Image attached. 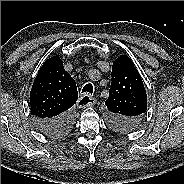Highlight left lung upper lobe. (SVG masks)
I'll return each instance as SVG.
<instances>
[{
	"mask_svg": "<svg viewBox=\"0 0 184 184\" xmlns=\"http://www.w3.org/2000/svg\"><path fill=\"white\" fill-rule=\"evenodd\" d=\"M111 88L105 101L109 123L118 131H132L141 123L147 110V94L131 59L125 55L112 66Z\"/></svg>",
	"mask_w": 184,
	"mask_h": 184,
	"instance_id": "5c2ea615",
	"label": "left lung upper lobe"
}]
</instances>
